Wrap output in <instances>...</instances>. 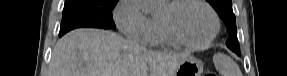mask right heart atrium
Segmentation results:
<instances>
[{"mask_svg":"<svg viewBox=\"0 0 287 76\" xmlns=\"http://www.w3.org/2000/svg\"><path fill=\"white\" fill-rule=\"evenodd\" d=\"M119 30L129 39L148 43L152 37L151 19L143 12L139 0H120L114 11Z\"/></svg>","mask_w":287,"mask_h":76,"instance_id":"1","label":"right heart atrium"}]
</instances>
